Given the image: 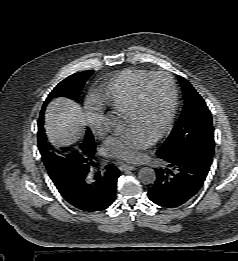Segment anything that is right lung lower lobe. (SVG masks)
Returning a JSON list of instances; mask_svg holds the SVG:
<instances>
[{"label":"right lung lower lobe","instance_id":"obj_1","mask_svg":"<svg viewBox=\"0 0 238 261\" xmlns=\"http://www.w3.org/2000/svg\"><path fill=\"white\" fill-rule=\"evenodd\" d=\"M95 167L96 164L92 162L73 173L65 183L55 184L69 204L85 212L107 209L116 196L119 170L107 165L103 171L95 172Z\"/></svg>","mask_w":238,"mask_h":261}]
</instances>
